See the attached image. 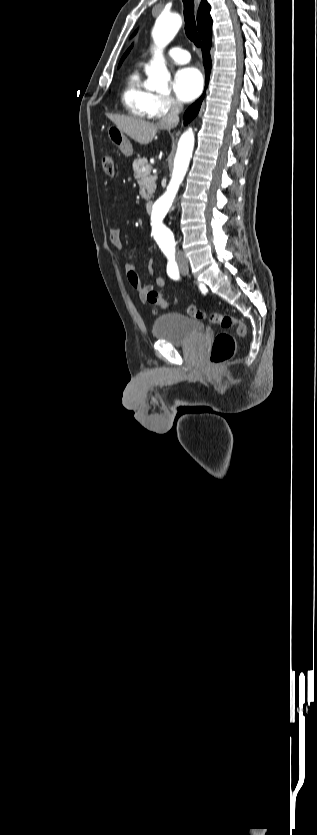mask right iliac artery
Returning <instances> with one entry per match:
<instances>
[{"label":"right iliac artery","mask_w":317,"mask_h":835,"mask_svg":"<svg viewBox=\"0 0 317 835\" xmlns=\"http://www.w3.org/2000/svg\"><path fill=\"white\" fill-rule=\"evenodd\" d=\"M167 274H168V276H169L170 278H172V279H174V280H178V279H179V270H178V266H177V263L175 262L174 257H171V258H169V260H168V263H167Z\"/></svg>","instance_id":"obj_1"}]
</instances>
